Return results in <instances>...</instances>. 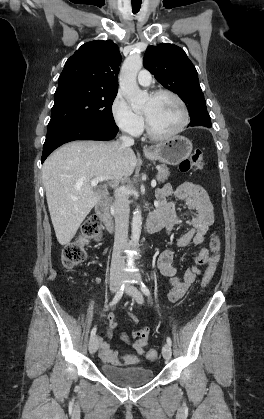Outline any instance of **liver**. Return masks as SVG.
Masks as SVG:
<instances>
[{"instance_id": "obj_1", "label": "liver", "mask_w": 264, "mask_h": 419, "mask_svg": "<svg viewBox=\"0 0 264 419\" xmlns=\"http://www.w3.org/2000/svg\"><path fill=\"white\" fill-rule=\"evenodd\" d=\"M137 159L118 141H73L53 152L42 168L48 208L57 241L68 244L105 191L90 182L105 176L111 187L131 176ZM106 188V185L104 186Z\"/></svg>"}]
</instances>
